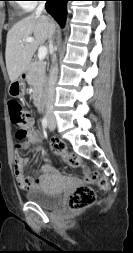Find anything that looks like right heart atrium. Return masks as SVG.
<instances>
[{
	"label": "right heart atrium",
	"mask_w": 133,
	"mask_h": 253,
	"mask_svg": "<svg viewBox=\"0 0 133 253\" xmlns=\"http://www.w3.org/2000/svg\"><path fill=\"white\" fill-rule=\"evenodd\" d=\"M20 5H21L22 9L28 11V10H31L35 7L36 2H35V0H22Z\"/></svg>",
	"instance_id": "right-heart-atrium-1"
}]
</instances>
